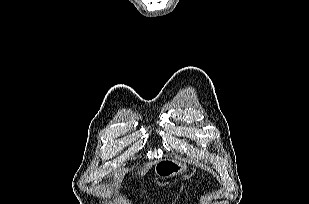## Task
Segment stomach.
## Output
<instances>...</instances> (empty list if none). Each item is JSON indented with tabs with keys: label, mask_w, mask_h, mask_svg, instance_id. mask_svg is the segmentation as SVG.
<instances>
[{
	"label": "stomach",
	"mask_w": 309,
	"mask_h": 204,
	"mask_svg": "<svg viewBox=\"0 0 309 204\" xmlns=\"http://www.w3.org/2000/svg\"><path fill=\"white\" fill-rule=\"evenodd\" d=\"M187 166L173 159H164L154 165V173L160 178H170L186 170Z\"/></svg>",
	"instance_id": "1"
}]
</instances>
